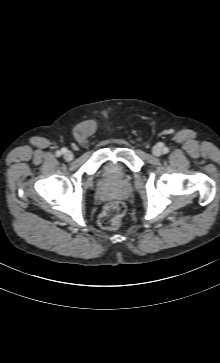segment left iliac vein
Listing matches in <instances>:
<instances>
[{
	"mask_svg": "<svg viewBox=\"0 0 220 363\" xmlns=\"http://www.w3.org/2000/svg\"><path fill=\"white\" fill-rule=\"evenodd\" d=\"M152 153L155 156H160L162 154V148L159 145H155L152 149Z\"/></svg>",
	"mask_w": 220,
	"mask_h": 363,
	"instance_id": "obj_1",
	"label": "left iliac vein"
}]
</instances>
